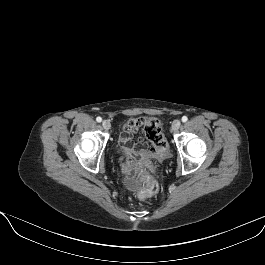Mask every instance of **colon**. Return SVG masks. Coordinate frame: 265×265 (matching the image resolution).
<instances>
[{
	"instance_id": "1",
	"label": "colon",
	"mask_w": 265,
	"mask_h": 265,
	"mask_svg": "<svg viewBox=\"0 0 265 265\" xmlns=\"http://www.w3.org/2000/svg\"><path fill=\"white\" fill-rule=\"evenodd\" d=\"M143 129L146 138L151 144V155H163L168 149V143L162 133L159 121L155 118L144 120ZM137 179L145 188L140 193L141 198L150 197L158 192L159 183L146 170L139 169L137 171Z\"/></svg>"
}]
</instances>
